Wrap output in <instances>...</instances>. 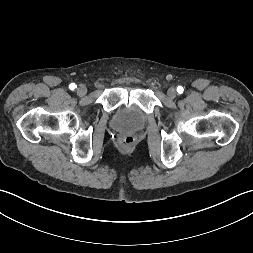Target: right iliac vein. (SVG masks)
Instances as JSON below:
<instances>
[{
    "label": "right iliac vein",
    "instance_id": "1",
    "mask_svg": "<svg viewBox=\"0 0 253 253\" xmlns=\"http://www.w3.org/2000/svg\"><path fill=\"white\" fill-rule=\"evenodd\" d=\"M87 93V88L85 85L81 84L77 88V94L79 96H84Z\"/></svg>",
    "mask_w": 253,
    "mask_h": 253
}]
</instances>
